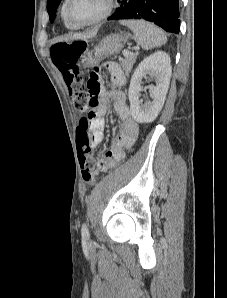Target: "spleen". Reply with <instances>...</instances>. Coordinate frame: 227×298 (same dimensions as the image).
Returning <instances> with one entry per match:
<instances>
[{
  "mask_svg": "<svg viewBox=\"0 0 227 298\" xmlns=\"http://www.w3.org/2000/svg\"><path fill=\"white\" fill-rule=\"evenodd\" d=\"M120 24L127 26L134 33L135 41L143 49H151L166 43L167 37L161 29L144 20H122Z\"/></svg>",
  "mask_w": 227,
  "mask_h": 298,
  "instance_id": "3e777b00",
  "label": "spleen"
}]
</instances>
